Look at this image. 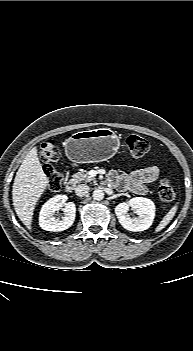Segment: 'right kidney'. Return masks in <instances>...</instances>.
<instances>
[{"label": "right kidney", "instance_id": "ca27d5eb", "mask_svg": "<svg viewBox=\"0 0 193 351\" xmlns=\"http://www.w3.org/2000/svg\"><path fill=\"white\" fill-rule=\"evenodd\" d=\"M67 199L66 195H56L42 206L39 215V225L42 229L58 232L72 226L75 220L76 206L73 202L66 203ZM60 209L64 212V217L61 220L53 216Z\"/></svg>", "mask_w": 193, "mask_h": 351}]
</instances>
